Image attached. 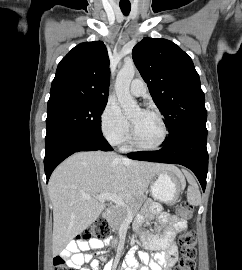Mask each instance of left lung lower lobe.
Wrapping results in <instances>:
<instances>
[{
    "mask_svg": "<svg viewBox=\"0 0 242 270\" xmlns=\"http://www.w3.org/2000/svg\"><path fill=\"white\" fill-rule=\"evenodd\" d=\"M164 143L158 151L133 152L127 156L135 160L183 165L194 172L205 191L208 171L206 125L187 127Z\"/></svg>",
    "mask_w": 242,
    "mask_h": 270,
    "instance_id": "obj_1",
    "label": "left lung lower lobe"
}]
</instances>
